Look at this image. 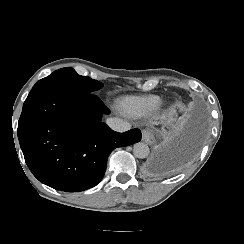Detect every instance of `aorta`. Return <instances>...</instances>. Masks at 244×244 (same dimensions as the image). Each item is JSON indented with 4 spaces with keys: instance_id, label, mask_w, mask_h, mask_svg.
<instances>
[{
    "instance_id": "aorta-1",
    "label": "aorta",
    "mask_w": 244,
    "mask_h": 244,
    "mask_svg": "<svg viewBox=\"0 0 244 244\" xmlns=\"http://www.w3.org/2000/svg\"><path fill=\"white\" fill-rule=\"evenodd\" d=\"M149 152H150V150H149V147L147 144H145L143 142H138V143L134 144L133 154L135 157L144 159V158L148 157Z\"/></svg>"
}]
</instances>
